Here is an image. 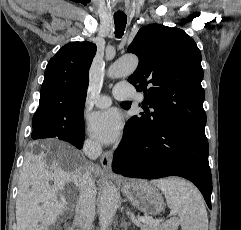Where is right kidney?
<instances>
[{
  "label": "right kidney",
  "mask_w": 241,
  "mask_h": 230,
  "mask_svg": "<svg viewBox=\"0 0 241 230\" xmlns=\"http://www.w3.org/2000/svg\"><path fill=\"white\" fill-rule=\"evenodd\" d=\"M45 230H52L51 228H46Z\"/></svg>",
  "instance_id": "right-kidney-1"
}]
</instances>
